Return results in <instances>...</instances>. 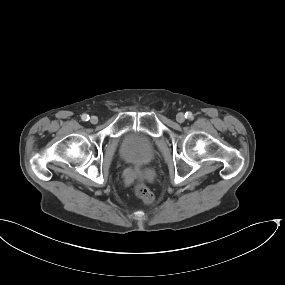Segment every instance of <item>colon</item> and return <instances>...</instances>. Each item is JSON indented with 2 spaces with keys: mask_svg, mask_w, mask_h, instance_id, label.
I'll return each instance as SVG.
<instances>
[{
  "mask_svg": "<svg viewBox=\"0 0 285 285\" xmlns=\"http://www.w3.org/2000/svg\"><path fill=\"white\" fill-rule=\"evenodd\" d=\"M134 193L145 204H151L154 201L153 192L143 182H138L134 185Z\"/></svg>",
  "mask_w": 285,
  "mask_h": 285,
  "instance_id": "obj_1",
  "label": "colon"
}]
</instances>
